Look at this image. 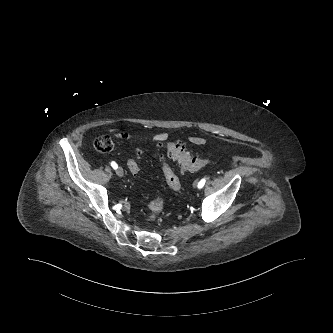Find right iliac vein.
<instances>
[{"mask_svg":"<svg viewBox=\"0 0 333 333\" xmlns=\"http://www.w3.org/2000/svg\"><path fill=\"white\" fill-rule=\"evenodd\" d=\"M116 174L119 176V177H123L124 176V171L121 167H118L116 169Z\"/></svg>","mask_w":333,"mask_h":333,"instance_id":"right-iliac-vein-1","label":"right iliac vein"}]
</instances>
